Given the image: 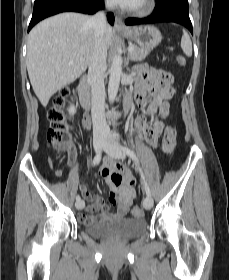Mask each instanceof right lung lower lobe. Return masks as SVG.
<instances>
[{
	"label": "right lung lower lobe",
	"instance_id": "98d812e1",
	"mask_svg": "<svg viewBox=\"0 0 229 280\" xmlns=\"http://www.w3.org/2000/svg\"><path fill=\"white\" fill-rule=\"evenodd\" d=\"M101 8H103V0H35L28 31L42 19L61 12L94 14ZM108 21L110 24L114 23L113 14H108Z\"/></svg>",
	"mask_w": 229,
	"mask_h": 280
}]
</instances>
